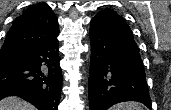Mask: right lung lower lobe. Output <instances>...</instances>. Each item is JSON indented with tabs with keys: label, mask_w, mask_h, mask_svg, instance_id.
Here are the masks:
<instances>
[{
	"label": "right lung lower lobe",
	"mask_w": 171,
	"mask_h": 110,
	"mask_svg": "<svg viewBox=\"0 0 171 110\" xmlns=\"http://www.w3.org/2000/svg\"><path fill=\"white\" fill-rule=\"evenodd\" d=\"M57 37L25 53V60L0 71V99L17 95L38 110H57L62 88Z\"/></svg>",
	"instance_id": "right-lung-lower-lobe-1"
}]
</instances>
